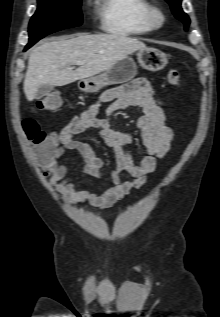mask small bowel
I'll use <instances>...</instances> for the list:
<instances>
[{
	"label": "small bowel",
	"mask_w": 220,
	"mask_h": 317,
	"mask_svg": "<svg viewBox=\"0 0 220 317\" xmlns=\"http://www.w3.org/2000/svg\"><path fill=\"white\" fill-rule=\"evenodd\" d=\"M100 103H109L106 118L98 116ZM129 106L140 107L144 112L136 125L144 148V156L139 161H135L125 149L132 139L131 134L117 131L111 125V116ZM84 132L95 133L115 152L117 167L110 175L112 185L104 192L77 190L76 177L68 175L67 166L57 161V157L64 152L75 150L85 162L82 175L97 178L102 176L105 161L95 154L88 142L75 138ZM51 136L59 147L58 154L50 166L44 167L43 176L49 179L52 186L59 185L67 204L85 203L94 209H106L146 183L158 161L169 152L173 131L166 125L164 103L146 79L138 78L104 91L97 103L88 107L80 116L72 118L62 129L53 131ZM122 172H127L130 179L122 180Z\"/></svg>",
	"instance_id": "1"
}]
</instances>
